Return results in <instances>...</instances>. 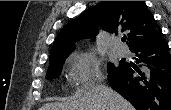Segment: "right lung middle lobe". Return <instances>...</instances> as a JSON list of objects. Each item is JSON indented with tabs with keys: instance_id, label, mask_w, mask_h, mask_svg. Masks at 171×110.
I'll list each match as a JSON object with an SVG mask.
<instances>
[{
	"instance_id": "right-lung-middle-lobe-1",
	"label": "right lung middle lobe",
	"mask_w": 171,
	"mask_h": 110,
	"mask_svg": "<svg viewBox=\"0 0 171 110\" xmlns=\"http://www.w3.org/2000/svg\"><path fill=\"white\" fill-rule=\"evenodd\" d=\"M68 55H62V56H58L56 58H53L51 60H49V68L46 74V78L48 80H51L53 78H57L61 72L62 69V65L65 61V59L67 58ZM122 63H119V65ZM109 71H112L115 69V66L111 63H109Z\"/></svg>"
}]
</instances>
